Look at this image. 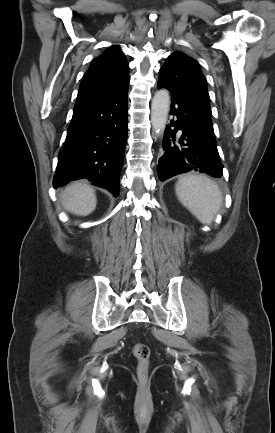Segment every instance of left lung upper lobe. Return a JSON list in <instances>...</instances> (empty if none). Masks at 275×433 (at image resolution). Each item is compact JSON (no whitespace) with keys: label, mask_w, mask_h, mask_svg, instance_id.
<instances>
[{"label":"left lung upper lobe","mask_w":275,"mask_h":433,"mask_svg":"<svg viewBox=\"0 0 275 433\" xmlns=\"http://www.w3.org/2000/svg\"><path fill=\"white\" fill-rule=\"evenodd\" d=\"M159 80L181 93L212 125L206 79L197 61L181 52L171 54L159 71Z\"/></svg>","instance_id":"left-lung-upper-lobe-1"}]
</instances>
